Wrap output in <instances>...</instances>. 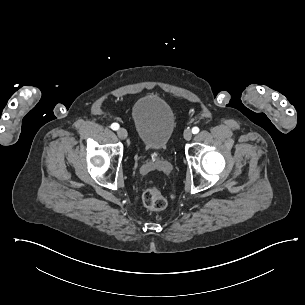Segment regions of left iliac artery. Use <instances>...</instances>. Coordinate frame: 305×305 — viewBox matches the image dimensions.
Instances as JSON below:
<instances>
[{"label": "left iliac artery", "instance_id": "left-iliac-artery-1", "mask_svg": "<svg viewBox=\"0 0 305 305\" xmlns=\"http://www.w3.org/2000/svg\"><path fill=\"white\" fill-rule=\"evenodd\" d=\"M199 132V128L198 127H193L192 128V133L193 134H197Z\"/></svg>", "mask_w": 305, "mask_h": 305}]
</instances>
